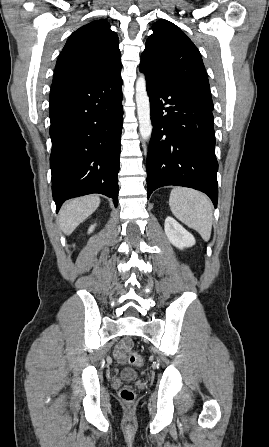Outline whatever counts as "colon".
Instances as JSON below:
<instances>
[{"instance_id":"5ec220e1","label":"colon","mask_w":269,"mask_h":447,"mask_svg":"<svg viewBox=\"0 0 269 447\" xmlns=\"http://www.w3.org/2000/svg\"><path fill=\"white\" fill-rule=\"evenodd\" d=\"M128 346L129 344L127 343L125 345V348L127 350L123 355V358L126 360V362L130 365H143L144 361L142 357L139 356V354L136 353L135 351L129 350ZM119 398L120 401L126 405L132 404L136 399V393L134 388L129 384L122 386V388L119 391Z\"/></svg>"}]
</instances>
